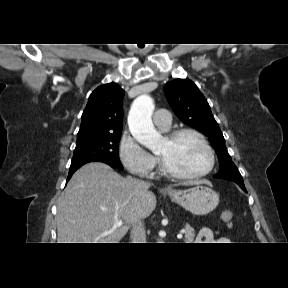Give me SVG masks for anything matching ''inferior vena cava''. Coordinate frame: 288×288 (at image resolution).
<instances>
[{
  "instance_id": "602c4592",
  "label": "inferior vena cava",
  "mask_w": 288,
  "mask_h": 288,
  "mask_svg": "<svg viewBox=\"0 0 288 288\" xmlns=\"http://www.w3.org/2000/svg\"><path fill=\"white\" fill-rule=\"evenodd\" d=\"M131 243H146V231L144 222L138 221L131 230L130 234Z\"/></svg>"
}]
</instances>
